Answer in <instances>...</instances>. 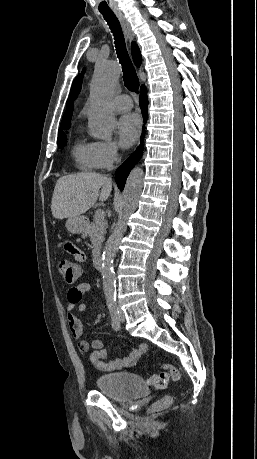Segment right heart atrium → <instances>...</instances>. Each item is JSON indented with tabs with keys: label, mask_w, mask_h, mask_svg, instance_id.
Masks as SVG:
<instances>
[{
	"label": "right heart atrium",
	"mask_w": 257,
	"mask_h": 459,
	"mask_svg": "<svg viewBox=\"0 0 257 459\" xmlns=\"http://www.w3.org/2000/svg\"><path fill=\"white\" fill-rule=\"evenodd\" d=\"M93 144V155L98 168H110L119 158V145L110 140H98Z\"/></svg>",
	"instance_id": "obj_1"
}]
</instances>
